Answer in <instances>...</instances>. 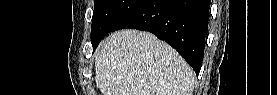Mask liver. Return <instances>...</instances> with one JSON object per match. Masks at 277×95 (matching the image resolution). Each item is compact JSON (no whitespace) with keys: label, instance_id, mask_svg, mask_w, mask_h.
Segmentation results:
<instances>
[{"label":"liver","instance_id":"1","mask_svg":"<svg viewBox=\"0 0 277 95\" xmlns=\"http://www.w3.org/2000/svg\"><path fill=\"white\" fill-rule=\"evenodd\" d=\"M103 95H192L195 74L167 43L133 29L111 34L95 55Z\"/></svg>","mask_w":277,"mask_h":95}]
</instances>
